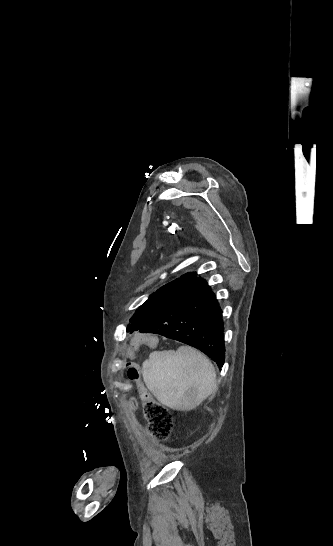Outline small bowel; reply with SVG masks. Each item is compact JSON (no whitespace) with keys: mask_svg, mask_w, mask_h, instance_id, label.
I'll return each instance as SVG.
<instances>
[{"mask_svg":"<svg viewBox=\"0 0 333 546\" xmlns=\"http://www.w3.org/2000/svg\"><path fill=\"white\" fill-rule=\"evenodd\" d=\"M156 338V335L154 332L152 331H147V332H137L136 333V336L134 337V344L136 347H143L145 349H154V348H157L158 347V340L155 339ZM135 360H140V355L139 354H136L135 355Z\"/></svg>","mask_w":333,"mask_h":546,"instance_id":"obj_1","label":"small bowel"}]
</instances>
